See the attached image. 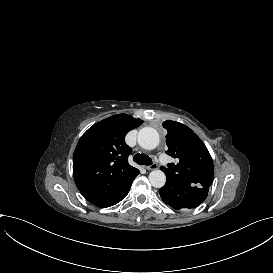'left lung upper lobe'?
Masks as SVG:
<instances>
[{
	"label": "left lung upper lobe",
	"mask_w": 273,
	"mask_h": 273,
	"mask_svg": "<svg viewBox=\"0 0 273 273\" xmlns=\"http://www.w3.org/2000/svg\"><path fill=\"white\" fill-rule=\"evenodd\" d=\"M168 131L166 153L178 159L161 167L167 178L198 187H210L214 178L213 161L201 139L187 126L175 121H165Z\"/></svg>",
	"instance_id": "left-lung-upper-lobe-1"
}]
</instances>
